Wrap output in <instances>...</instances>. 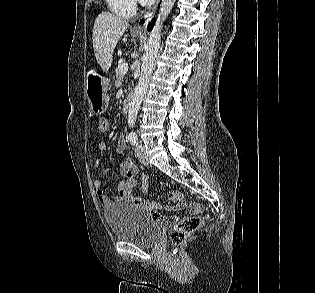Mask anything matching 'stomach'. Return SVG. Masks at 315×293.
I'll return each instance as SVG.
<instances>
[{"label":"stomach","mask_w":315,"mask_h":293,"mask_svg":"<svg viewBox=\"0 0 315 293\" xmlns=\"http://www.w3.org/2000/svg\"><path fill=\"white\" fill-rule=\"evenodd\" d=\"M141 38V35L134 34ZM108 88L109 80L105 76L91 70L86 84V95L88 97L89 106L94 114H102L108 107Z\"/></svg>","instance_id":"1"}]
</instances>
